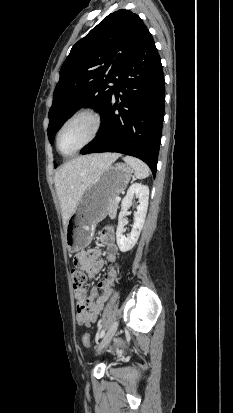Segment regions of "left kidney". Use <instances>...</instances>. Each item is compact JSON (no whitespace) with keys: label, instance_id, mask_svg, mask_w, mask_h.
Instances as JSON below:
<instances>
[{"label":"left kidney","instance_id":"obj_1","mask_svg":"<svg viewBox=\"0 0 233 413\" xmlns=\"http://www.w3.org/2000/svg\"><path fill=\"white\" fill-rule=\"evenodd\" d=\"M134 195L138 198L139 205L137 211L134 213V224L132 226L131 233L125 237L124 232V214L127 212L130 203L133 200ZM149 200V188L146 185L140 183H134L130 186L126 196L122 200L121 211L118 217V226L116 230L117 245L121 252H127L131 250L138 241L140 232L143 228Z\"/></svg>","mask_w":233,"mask_h":413}]
</instances>
